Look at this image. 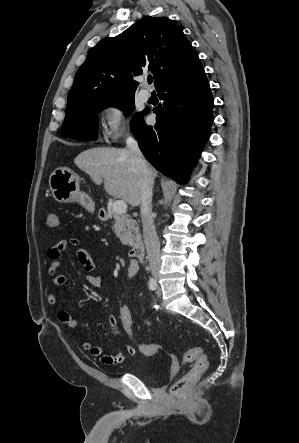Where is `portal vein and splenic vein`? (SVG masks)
Listing matches in <instances>:
<instances>
[{
  "instance_id": "obj_1",
  "label": "portal vein and splenic vein",
  "mask_w": 299,
  "mask_h": 443,
  "mask_svg": "<svg viewBox=\"0 0 299 443\" xmlns=\"http://www.w3.org/2000/svg\"><path fill=\"white\" fill-rule=\"evenodd\" d=\"M112 209L117 214H124L127 211V204L123 200H117L112 204Z\"/></svg>"
}]
</instances>
